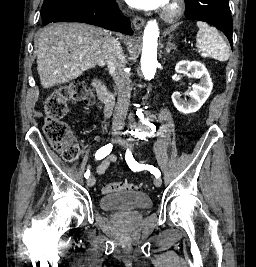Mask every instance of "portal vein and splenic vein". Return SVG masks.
<instances>
[{
    "label": "portal vein and splenic vein",
    "mask_w": 256,
    "mask_h": 267,
    "mask_svg": "<svg viewBox=\"0 0 256 267\" xmlns=\"http://www.w3.org/2000/svg\"><path fill=\"white\" fill-rule=\"evenodd\" d=\"M198 52H199V53H202V52H203V49H202V48H199V49H198Z\"/></svg>",
    "instance_id": "1"
}]
</instances>
